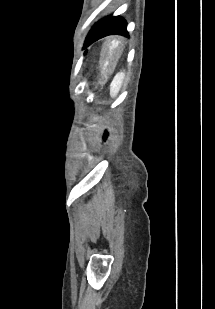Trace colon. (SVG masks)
Masks as SVG:
<instances>
[{
    "label": "colon",
    "mask_w": 215,
    "mask_h": 309,
    "mask_svg": "<svg viewBox=\"0 0 215 309\" xmlns=\"http://www.w3.org/2000/svg\"><path fill=\"white\" fill-rule=\"evenodd\" d=\"M110 137L109 129H106V131L103 134V140L107 141Z\"/></svg>",
    "instance_id": "5ec220e1"
}]
</instances>
